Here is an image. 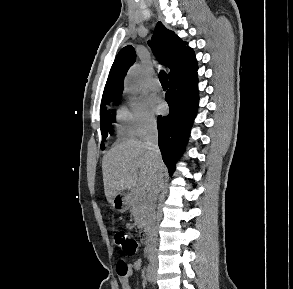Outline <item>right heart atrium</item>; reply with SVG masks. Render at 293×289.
Returning <instances> with one entry per match:
<instances>
[{
  "mask_svg": "<svg viewBox=\"0 0 293 289\" xmlns=\"http://www.w3.org/2000/svg\"><path fill=\"white\" fill-rule=\"evenodd\" d=\"M125 110L129 116L135 136L144 137L156 129V117L145 99L129 96Z\"/></svg>",
  "mask_w": 293,
  "mask_h": 289,
  "instance_id": "obj_1",
  "label": "right heart atrium"
}]
</instances>
